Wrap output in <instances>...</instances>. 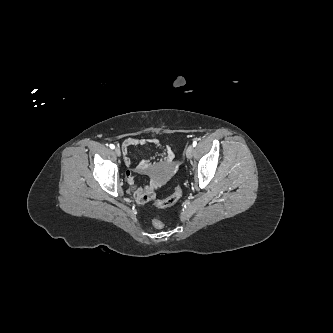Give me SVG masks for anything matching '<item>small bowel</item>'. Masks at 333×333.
I'll return each mask as SVG.
<instances>
[{
  "label": "small bowel",
  "mask_w": 333,
  "mask_h": 333,
  "mask_svg": "<svg viewBox=\"0 0 333 333\" xmlns=\"http://www.w3.org/2000/svg\"><path fill=\"white\" fill-rule=\"evenodd\" d=\"M146 144H152L155 145L159 148L162 149V153L160 157L155 160H142L140 163L137 165H133L132 161L129 157V149L131 147L135 146H143ZM122 151L124 154V162L126 166L128 167V171L126 173L127 175V180L130 185L134 184V179L131 176V172L139 173V174H150L154 170L158 169L159 167H167L169 169H172L174 167L173 159H174V153L172 149L167 145V146H162L159 142L158 139L156 138H150V139H144V138H134V137H129L124 140L122 143ZM161 187V183L153 179L149 183L148 186H146L143 189H138L134 191V198L138 203L144 204L149 201H151L154 196L156 190H158Z\"/></svg>",
  "instance_id": "1"
}]
</instances>
